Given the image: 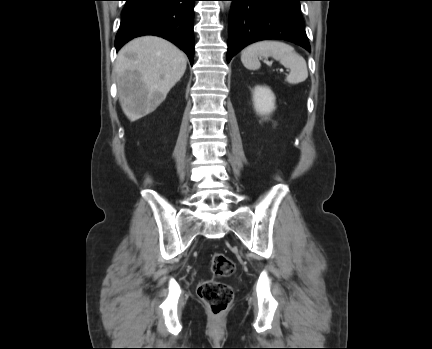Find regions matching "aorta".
Wrapping results in <instances>:
<instances>
[{
  "instance_id": "762f6f07",
  "label": "aorta",
  "mask_w": 432,
  "mask_h": 349,
  "mask_svg": "<svg viewBox=\"0 0 432 349\" xmlns=\"http://www.w3.org/2000/svg\"><path fill=\"white\" fill-rule=\"evenodd\" d=\"M225 4H226V5H230L231 2H230V1H225Z\"/></svg>"
}]
</instances>
